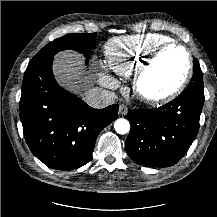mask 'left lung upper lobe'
<instances>
[{"label":"left lung upper lobe","instance_id":"5c2ea615","mask_svg":"<svg viewBox=\"0 0 217 217\" xmlns=\"http://www.w3.org/2000/svg\"><path fill=\"white\" fill-rule=\"evenodd\" d=\"M193 72H194V75H193L189 85L195 86L196 88L203 90V88H204L203 74L200 70V66H199L198 60L196 58L193 60Z\"/></svg>","mask_w":217,"mask_h":217}]
</instances>
